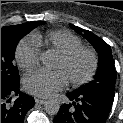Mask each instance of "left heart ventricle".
<instances>
[{
    "instance_id": "left-heart-ventricle-1",
    "label": "left heart ventricle",
    "mask_w": 123,
    "mask_h": 123,
    "mask_svg": "<svg viewBox=\"0 0 123 123\" xmlns=\"http://www.w3.org/2000/svg\"><path fill=\"white\" fill-rule=\"evenodd\" d=\"M53 67L62 70L68 79L79 78L89 70L90 60L84 54L78 55L68 62L57 57Z\"/></svg>"
}]
</instances>
